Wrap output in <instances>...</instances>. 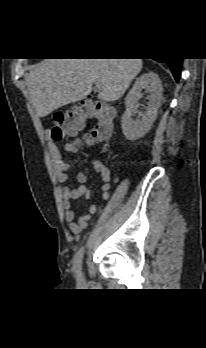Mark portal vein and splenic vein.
Masks as SVG:
<instances>
[{
    "label": "portal vein and splenic vein",
    "mask_w": 206,
    "mask_h": 348,
    "mask_svg": "<svg viewBox=\"0 0 206 348\" xmlns=\"http://www.w3.org/2000/svg\"><path fill=\"white\" fill-rule=\"evenodd\" d=\"M96 88H101V84L99 82H96Z\"/></svg>",
    "instance_id": "18ae733b"
}]
</instances>
